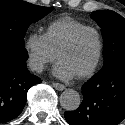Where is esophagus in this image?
<instances>
[{
    "label": "esophagus",
    "instance_id": "esophagus-1",
    "mask_svg": "<svg viewBox=\"0 0 125 125\" xmlns=\"http://www.w3.org/2000/svg\"><path fill=\"white\" fill-rule=\"evenodd\" d=\"M52 85L56 90H59V91H62L65 89V86L63 84L58 83V82H53Z\"/></svg>",
    "mask_w": 125,
    "mask_h": 125
}]
</instances>
